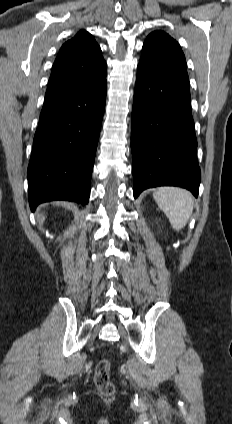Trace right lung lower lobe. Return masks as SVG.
<instances>
[{"mask_svg": "<svg viewBox=\"0 0 232 424\" xmlns=\"http://www.w3.org/2000/svg\"><path fill=\"white\" fill-rule=\"evenodd\" d=\"M106 79L46 96L28 166L31 210L52 200L88 203Z\"/></svg>", "mask_w": 232, "mask_h": 424, "instance_id": "98d812e1", "label": "right lung lower lobe"}]
</instances>
